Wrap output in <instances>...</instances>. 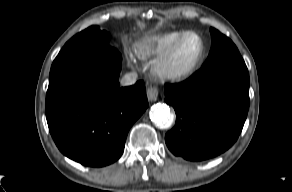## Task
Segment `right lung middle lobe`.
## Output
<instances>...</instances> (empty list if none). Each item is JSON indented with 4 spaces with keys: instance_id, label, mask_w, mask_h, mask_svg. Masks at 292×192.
Returning a JSON list of instances; mask_svg holds the SVG:
<instances>
[{
    "instance_id": "right-lung-middle-lobe-1",
    "label": "right lung middle lobe",
    "mask_w": 292,
    "mask_h": 192,
    "mask_svg": "<svg viewBox=\"0 0 292 192\" xmlns=\"http://www.w3.org/2000/svg\"><path fill=\"white\" fill-rule=\"evenodd\" d=\"M109 39L108 32L101 31L98 26H91L72 37L62 49L108 45Z\"/></svg>"
}]
</instances>
